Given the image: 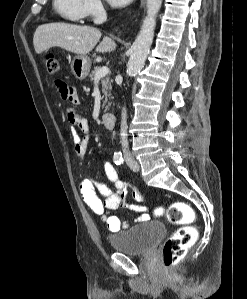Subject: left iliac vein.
<instances>
[{
	"instance_id": "left-iliac-vein-1",
	"label": "left iliac vein",
	"mask_w": 247,
	"mask_h": 299,
	"mask_svg": "<svg viewBox=\"0 0 247 299\" xmlns=\"http://www.w3.org/2000/svg\"><path fill=\"white\" fill-rule=\"evenodd\" d=\"M127 163L128 166L133 170V171H138L139 170V165L137 161L131 157L127 158Z\"/></svg>"
}]
</instances>
